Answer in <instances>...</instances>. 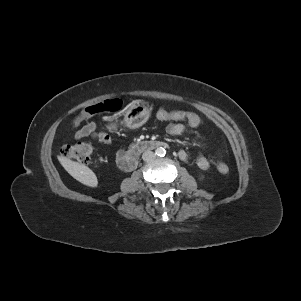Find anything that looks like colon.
<instances>
[{"instance_id":"obj_1","label":"colon","mask_w":301,"mask_h":301,"mask_svg":"<svg viewBox=\"0 0 301 301\" xmlns=\"http://www.w3.org/2000/svg\"><path fill=\"white\" fill-rule=\"evenodd\" d=\"M149 105L156 109L158 113L163 111V107L159 105L154 100L149 102ZM122 107V101L120 99H109L103 102L94 104L92 106L87 107L74 121V125L77 126L80 124L82 120L85 118L92 116L97 113L102 112H114L118 111ZM165 109V108H164ZM168 111V110H167ZM169 114L171 118H182L184 121H188L190 126L197 127L200 124L201 118L194 112H185L183 110H173ZM61 154L64 158L75 160L85 164H93L96 165L97 161L95 158L96 151L95 149L88 143L85 142H77L72 145H67L63 147ZM217 169L222 174H227L229 172V167L224 163H219L217 165Z\"/></svg>"}]
</instances>
